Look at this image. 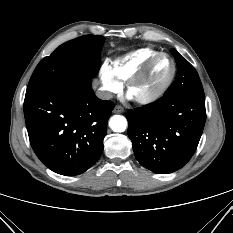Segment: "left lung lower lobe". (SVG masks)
I'll use <instances>...</instances> for the list:
<instances>
[{
    "mask_svg": "<svg viewBox=\"0 0 233 233\" xmlns=\"http://www.w3.org/2000/svg\"><path fill=\"white\" fill-rule=\"evenodd\" d=\"M134 155L145 168L168 174L194 154L206 120L205 97L163 96L126 114Z\"/></svg>",
    "mask_w": 233,
    "mask_h": 233,
    "instance_id": "0a47b994",
    "label": "left lung lower lobe"
}]
</instances>
